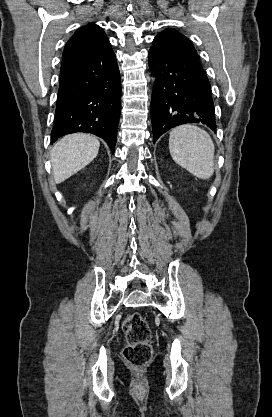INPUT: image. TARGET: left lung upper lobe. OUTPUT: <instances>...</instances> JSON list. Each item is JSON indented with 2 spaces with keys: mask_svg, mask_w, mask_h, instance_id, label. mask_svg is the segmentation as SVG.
<instances>
[{
  "mask_svg": "<svg viewBox=\"0 0 272 417\" xmlns=\"http://www.w3.org/2000/svg\"><path fill=\"white\" fill-rule=\"evenodd\" d=\"M161 51L180 53L197 57V51L192 42L174 29H166L159 33L153 41V46Z\"/></svg>",
  "mask_w": 272,
  "mask_h": 417,
  "instance_id": "5c2ea615",
  "label": "left lung upper lobe"
}]
</instances>
